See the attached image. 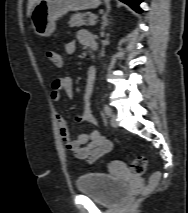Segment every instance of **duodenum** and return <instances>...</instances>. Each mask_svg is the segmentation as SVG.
Returning <instances> with one entry per match:
<instances>
[{"label":"duodenum","instance_id":"duodenum-1","mask_svg":"<svg viewBox=\"0 0 188 213\" xmlns=\"http://www.w3.org/2000/svg\"><path fill=\"white\" fill-rule=\"evenodd\" d=\"M95 46H96L95 40H91V42H90V47H93V48H94ZM89 76H90V78H91L92 81L95 79V73H94V72H91V73L89 74Z\"/></svg>","mask_w":188,"mask_h":213}]
</instances>
